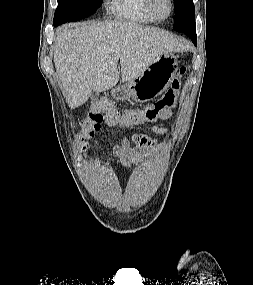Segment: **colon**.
<instances>
[{"label":"colon","instance_id":"5ec220e1","mask_svg":"<svg viewBox=\"0 0 253 285\" xmlns=\"http://www.w3.org/2000/svg\"><path fill=\"white\" fill-rule=\"evenodd\" d=\"M186 72V67L182 66L179 70V76L174 79L170 89L156 103L144 109L127 110L119 113L112 104L107 101H98L94 103L87 118L83 122V126L79 127V133L83 134L86 141H92L93 137H97L95 132L100 129L102 122L105 120L110 125L133 126L146 121H153L161 117L165 110L170 108L182 85V76ZM92 143H81L78 154L82 160L78 161L80 167L79 172H88L96 164L93 158H89L93 154Z\"/></svg>","mask_w":253,"mask_h":285}]
</instances>
